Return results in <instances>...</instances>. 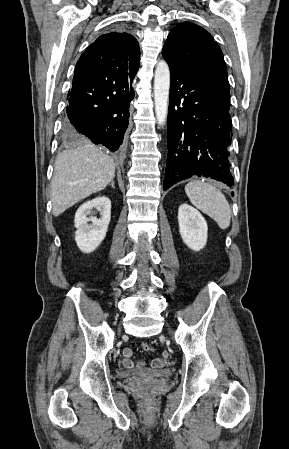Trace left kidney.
<instances>
[{
    "instance_id": "1",
    "label": "left kidney",
    "mask_w": 289,
    "mask_h": 449,
    "mask_svg": "<svg viewBox=\"0 0 289 449\" xmlns=\"http://www.w3.org/2000/svg\"><path fill=\"white\" fill-rule=\"evenodd\" d=\"M179 232L183 242L192 250L203 249L207 242V223L202 214L188 204L178 209Z\"/></svg>"
}]
</instances>
